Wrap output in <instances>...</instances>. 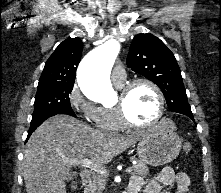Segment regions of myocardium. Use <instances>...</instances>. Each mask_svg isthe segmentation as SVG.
<instances>
[{"instance_id": "myocardium-1", "label": "myocardium", "mask_w": 221, "mask_h": 193, "mask_svg": "<svg viewBox=\"0 0 221 193\" xmlns=\"http://www.w3.org/2000/svg\"><path fill=\"white\" fill-rule=\"evenodd\" d=\"M139 85H147L151 87L157 97L158 100V108H157V113L155 114L154 118L147 122V123H139L133 121L126 110L125 107V102L124 99L125 97L137 86ZM120 96H121V101L115 105V109L118 113L119 119L121 123L128 128H136V129H145V128H150L156 124H158L161 120V118L164 115V110H165V97L164 94L161 90V88L152 80L146 79V78H139L135 79L127 84H125L123 87L120 89Z\"/></svg>"}]
</instances>
